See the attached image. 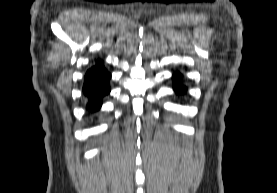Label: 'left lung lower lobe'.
Wrapping results in <instances>:
<instances>
[{"instance_id": "0a47b994", "label": "left lung lower lobe", "mask_w": 277, "mask_h": 193, "mask_svg": "<svg viewBox=\"0 0 277 193\" xmlns=\"http://www.w3.org/2000/svg\"><path fill=\"white\" fill-rule=\"evenodd\" d=\"M173 88L177 93H184V91L186 90L181 85L180 74L178 72H176L174 74V86H173Z\"/></svg>"}]
</instances>
